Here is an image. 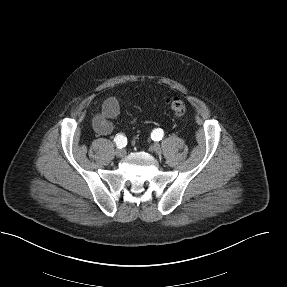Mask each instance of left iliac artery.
Segmentation results:
<instances>
[{"mask_svg":"<svg viewBox=\"0 0 287 287\" xmlns=\"http://www.w3.org/2000/svg\"><path fill=\"white\" fill-rule=\"evenodd\" d=\"M163 135H164V132L162 129L160 128H157V129H154L151 133V138L155 141H160L162 140L163 138Z\"/></svg>","mask_w":287,"mask_h":287,"instance_id":"1","label":"left iliac artery"}]
</instances>
